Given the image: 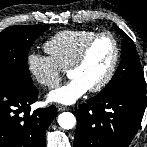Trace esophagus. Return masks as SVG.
Returning a JSON list of instances; mask_svg holds the SVG:
<instances>
[{
  "mask_svg": "<svg viewBox=\"0 0 147 147\" xmlns=\"http://www.w3.org/2000/svg\"><path fill=\"white\" fill-rule=\"evenodd\" d=\"M57 109H58V111H65V110H69V108H68V107H66V106H62V105H57Z\"/></svg>",
  "mask_w": 147,
  "mask_h": 147,
  "instance_id": "34e87169",
  "label": "esophagus"
}]
</instances>
